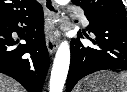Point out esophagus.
Wrapping results in <instances>:
<instances>
[{"mask_svg": "<svg viewBox=\"0 0 127 92\" xmlns=\"http://www.w3.org/2000/svg\"><path fill=\"white\" fill-rule=\"evenodd\" d=\"M44 9L48 15L46 25V46L49 53L53 54L57 48V40L54 37V30L58 27L60 11L53 0H44Z\"/></svg>", "mask_w": 127, "mask_h": 92, "instance_id": "34e87169", "label": "esophagus"}]
</instances>
